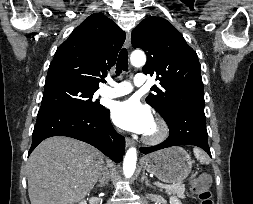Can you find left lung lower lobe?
<instances>
[{
	"mask_svg": "<svg viewBox=\"0 0 253 204\" xmlns=\"http://www.w3.org/2000/svg\"><path fill=\"white\" fill-rule=\"evenodd\" d=\"M169 137L161 144L152 147H141L140 152L148 154L163 148L177 145H194L205 150L210 156L208 133L204 105H192L177 111L166 121Z\"/></svg>",
	"mask_w": 253,
	"mask_h": 204,
	"instance_id": "1",
	"label": "left lung lower lobe"
}]
</instances>
